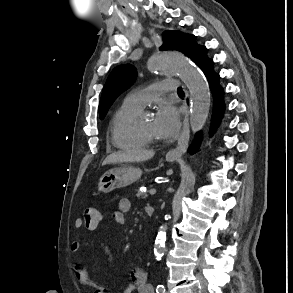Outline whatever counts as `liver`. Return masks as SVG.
Wrapping results in <instances>:
<instances>
[{
	"mask_svg": "<svg viewBox=\"0 0 293 293\" xmlns=\"http://www.w3.org/2000/svg\"><path fill=\"white\" fill-rule=\"evenodd\" d=\"M154 151H138L134 153L116 152L112 153L103 161V165L116 164L122 162H142L151 159L154 156Z\"/></svg>",
	"mask_w": 293,
	"mask_h": 293,
	"instance_id": "6515ba94",
	"label": "liver"
}]
</instances>
